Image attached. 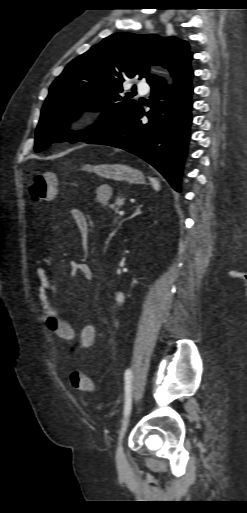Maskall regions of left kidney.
<instances>
[{"instance_id": "left-kidney-1", "label": "left kidney", "mask_w": 247, "mask_h": 513, "mask_svg": "<svg viewBox=\"0 0 247 513\" xmlns=\"http://www.w3.org/2000/svg\"><path fill=\"white\" fill-rule=\"evenodd\" d=\"M123 299H124L123 294H122V293H118V294H117V298H116V300H117L118 302H122V301H123Z\"/></svg>"}]
</instances>
